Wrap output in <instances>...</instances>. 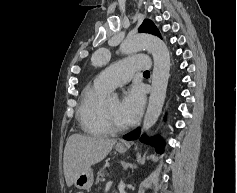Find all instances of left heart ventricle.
<instances>
[{"instance_id":"1","label":"left heart ventricle","mask_w":237,"mask_h":193,"mask_svg":"<svg viewBox=\"0 0 237 193\" xmlns=\"http://www.w3.org/2000/svg\"><path fill=\"white\" fill-rule=\"evenodd\" d=\"M106 107L112 118V120L118 125H126L120 114V102L119 101H109L106 102Z\"/></svg>"}]
</instances>
